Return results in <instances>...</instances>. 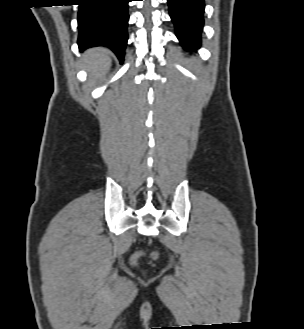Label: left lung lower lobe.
<instances>
[{
  "label": "left lung lower lobe",
  "instance_id": "1",
  "mask_svg": "<svg viewBox=\"0 0 304 329\" xmlns=\"http://www.w3.org/2000/svg\"><path fill=\"white\" fill-rule=\"evenodd\" d=\"M176 36L186 50L199 48L204 20V0H168Z\"/></svg>",
  "mask_w": 304,
  "mask_h": 329
}]
</instances>
